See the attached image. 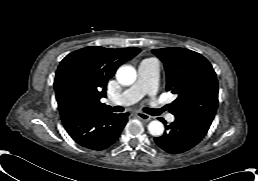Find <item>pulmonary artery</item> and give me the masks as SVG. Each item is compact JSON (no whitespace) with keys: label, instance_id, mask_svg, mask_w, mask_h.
<instances>
[{"label":"pulmonary artery","instance_id":"pulmonary-artery-1","mask_svg":"<svg viewBox=\"0 0 258 181\" xmlns=\"http://www.w3.org/2000/svg\"><path fill=\"white\" fill-rule=\"evenodd\" d=\"M159 73V63L155 58H148L141 61L138 67L137 81L117 97L110 101L119 105H130L139 101L145 95L155 96L157 92V79ZM159 99L154 100L158 105ZM174 116L170 115L169 120L174 121Z\"/></svg>","mask_w":258,"mask_h":181}]
</instances>
